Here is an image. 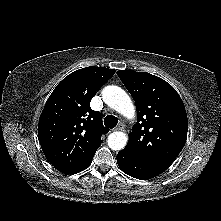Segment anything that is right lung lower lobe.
I'll use <instances>...</instances> for the list:
<instances>
[{
  "instance_id": "obj_1",
  "label": "right lung lower lobe",
  "mask_w": 221,
  "mask_h": 221,
  "mask_svg": "<svg viewBox=\"0 0 221 221\" xmlns=\"http://www.w3.org/2000/svg\"><path fill=\"white\" fill-rule=\"evenodd\" d=\"M92 158H93V157H92ZM92 158L89 159L87 163H85L82 167H80L78 170H76V171L73 172V173H78V172L83 171L84 169H86V168L91 164ZM73 173H71V174H73Z\"/></svg>"
}]
</instances>
